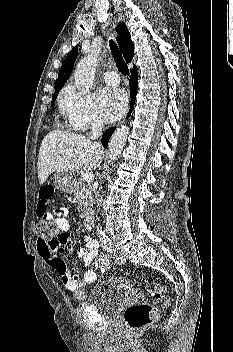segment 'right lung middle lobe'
Listing matches in <instances>:
<instances>
[{
	"label": "right lung middle lobe",
	"mask_w": 233,
	"mask_h": 352,
	"mask_svg": "<svg viewBox=\"0 0 233 352\" xmlns=\"http://www.w3.org/2000/svg\"><path fill=\"white\" fill-rule=\"evenodd\" d=\"M59 91H60V90L55 91L54 94L52 95V103H51V105L54 104V102H55V100H56V98H57V95H58V92H59Z\"/></svg>",
	"instance_id": "right-lung-middle-lobe-1"
}]
</instances>
